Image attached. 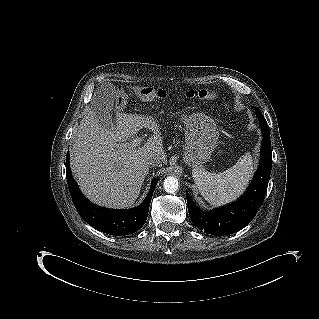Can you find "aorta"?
Listing matches in <instances>:
<instances>
[{"instance_id": "obj_1", "label": "aorta", "mask_w": 319, "mask_h": 319, "mask_svg": "<svg viewBox=\"0 0 319 319\" xmlns=\"http://www.w3.org/2000/svg\"><path fill=\"white\" fill-rule=\"evenodd\" d=\"M179 188V181L176 177L169 176L164 180V189L167 193H175Z\"/></svg>"}]
</instances>
